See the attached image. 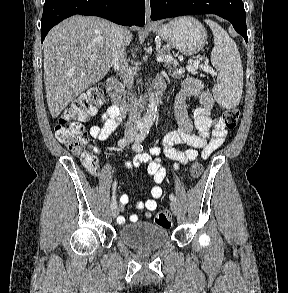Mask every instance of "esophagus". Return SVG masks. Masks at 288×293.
I'll use <instances>...</instances> for the list:
<instances>
[{
	"mask_svg": "<svg viewBox=\"0 0 288 293\" xmlns=\"http://www.w3.org/2000/svg\"><path fill=\"white\" fill-rule=\"evenodd\" d=\"M150 15H151L150 1L149 0H146V5H145V19H146V24L147 25H151L152 24Z\"/></svg>",
	"mask_w": 288,
	"mask_h": 293,
	"instance_id": "1",
	"label": "esophagus"
}]
</instances>
